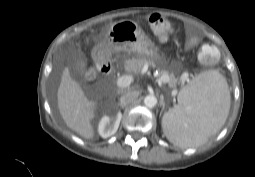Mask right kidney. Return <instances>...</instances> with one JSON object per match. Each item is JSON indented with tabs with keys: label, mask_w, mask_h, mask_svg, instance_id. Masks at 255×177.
Instances as JSON below:
<instances>
[{
	"label": "right kidney",
	"mask_w": 255,
	"mask_h": 177,
	"mask_svg": "<svg viewBox=\"0 0 255 177\" xmlns=\"http://www.w3.org/2000/svg\"><path fill=\"white\" fill-rule=\"evenodd\" d=\"M122 114L118 111L116 114L105 115L101 118L98 125V133L103 138H108L118 130Z\"/></svg>",
	"instance_id": "obj_1"
}]
</instances>
